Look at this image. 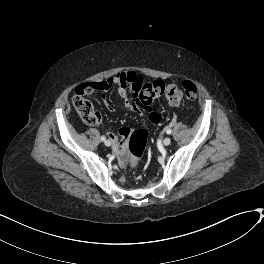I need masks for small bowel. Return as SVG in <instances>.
<instances>
[{
	"label": "small bowel",
	"mask_w": 264,
	"mask_h": 264,
	"mask_svg": "<svg viewBox=\"0 0 264 264\" xmlns=\"http://www.w3.org/2000/svg\"><path fill=\"white\" fill-rule=\"evenodd\" d=\"M143 78L133 71H124L114 75L106 81H102L96 84L100 90V96L107 109L112 112V107L109 104L106 91L112 86L117 87L118 95L125 100V107L136 113H141V108L135 102V96L140 89ZM171 106H177L178 103L169 102ZM146 110H150L148 107ZM149 121L153 125H158L161 122V116L156 112H150ZM131 129L129 127H121L116 133L107 131V136L111 141L115 143L113 150L114 156L117 158L119 165L125 166L128 161V155L124 148L126 139L130 136Z\"/></svg>",
	"instance_id": "small-bowel-1"
}]
</instances>
